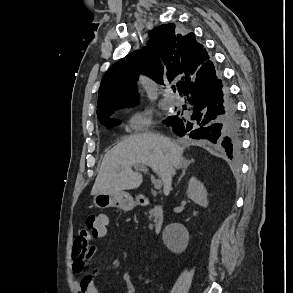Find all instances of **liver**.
Masks as SVG:
<instances>
[{"mask_svg": "<svg viewBox=\"0 0 293 293\" xmlns=\"http://www.w3.org/2000/svg\"><path fill=\"white\" fill-rule=\"evenodd\" d=\"M184 148L153 133L132 135L109 150L101 163L91 194H116L138 188L142 175L134 166H149L162 179L164 193L171 190L172 175L180 168Z\"/></svg>", "mask_w": 293, "mask_h": 293, "instance_id": "obj_1", "label": "liver"}]
</instances>
